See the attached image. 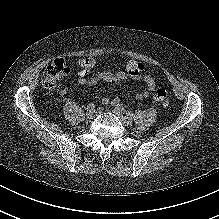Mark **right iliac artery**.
Wrapping results in <instances>:
<instances>
[{"label":"right iliac artery","mask_w":219,"mask_h":219,"mask_svg":"<svg viewBox=\"0 0 219 219\" xmlns=\"http://www.w3.org/2000/svg\"><path fill=\"white\" fill-rule=\"evenodd\" d=\"M87 111H94L95 110V104L90 103L87 107H86Z\"/></svg>","instance_id":"82829eb1"}]
</instances>
